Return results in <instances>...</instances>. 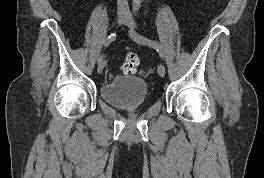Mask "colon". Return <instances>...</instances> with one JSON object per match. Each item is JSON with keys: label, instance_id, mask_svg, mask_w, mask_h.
<instances>
[{"label": "colon", "instance_id": "1", "mask_svg": "<svg viewBox=\"0 0 264 178\" xmlns=\"http://www.w3.org/2000/svg\"><path fill=\"white\" fill-rule=\"evenodd\" d=\"M138 65H139L138 55L134 52H129L126 54L122 62L121 69L125 74L133 75L136 73Z\"/></svg>", "mask_w": 264, "mask_h": 178}]
</instances>
